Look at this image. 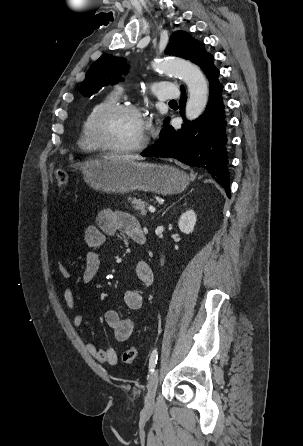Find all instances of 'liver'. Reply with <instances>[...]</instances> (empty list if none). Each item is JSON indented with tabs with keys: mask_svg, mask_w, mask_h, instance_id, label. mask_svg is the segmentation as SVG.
I'll return each mask as SVG.
<instances>
[{
	"mask_svg": "<svg viewBox=\"0 0 303 446\" xmlns=\"http://www.w3.org/2000/svg\"><path fill=\"white\" fill-rule=\"evenodd\" d=\"M105 159H109V160H123V159L143 160V157H140L139 155H114V156H106Z\"/></svg>",
	"mask_w": 303,
	"mask_h": 446,
	"instance_id": "liver-1",
	"label": "liver"
}]
</instances>
